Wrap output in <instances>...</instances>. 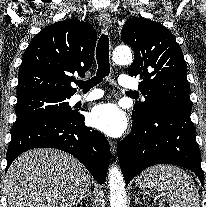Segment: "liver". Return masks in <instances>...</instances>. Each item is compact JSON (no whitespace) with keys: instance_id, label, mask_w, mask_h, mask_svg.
I'll return each instance as SVG.
<instances>
[{"instance_id":"obj_1","label":"liver","mask_w":206,"mask_h":207,"mask_svg":"<svg viewBox=\"0 0 206 207\" xmlns=\"http://www.w3.org/2000/svg\"><path fill=\"white\" fill-rule=\"evenodd\" d=\"M91 185L89 171L56 149H33L9 167L4 191L9 207H75Z\"/></svg>"}]
</instances>
